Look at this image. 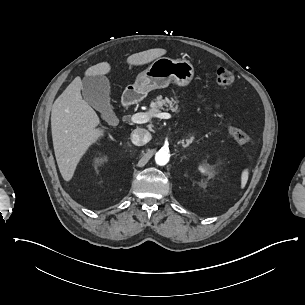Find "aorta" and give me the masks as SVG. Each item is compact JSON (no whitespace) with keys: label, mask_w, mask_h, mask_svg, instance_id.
Instances as JSON below:
<instances>
[{"label":"aorta","mask_w":305,"mask_h":305,"mask_svg":"<svg viewBox=\"0 0 305 305\" xmlns=\"http://www.w3.org/2000/svg\"><path fill=\"white\" fill-rule=\"evenodd\" d=\"M170 153L166 150H159L155 155V162L159 166H164L169 162Z\"/></svg>","instance_id":"aorta-1"}]
</instances>
